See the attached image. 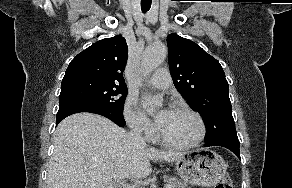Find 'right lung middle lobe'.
<instances>
[{"instance_id":"obj_1","label":"right lung middle lobe","mask_w":292,"mask_h":188,"mask_svg":"<svg viewBox=\"0 0 292 188\" xmlns=\"http://www.w3.org/2000/svg\"><path fill=\"white\" fill-rule=\"evenodd\" d=\"M127 88L94 78L62 80L59 102L80 100L116 115H123Z\"/></svg>"}]
</instances>
